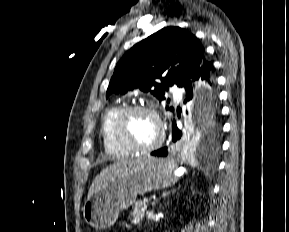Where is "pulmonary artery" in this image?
<instances>
[{"label": "pulmonary artery", "mask_w": 289, "mask_h": 232, "mask_svg": "<svg viewBox=\"0 0 289 232\" xmlns=\"http://www.w3.org/2000/svg\"><path fill=\"white\" fill-rule=\"evenodd\" d=\"M172 92L176 99L179 100L181 98V89H179L178 87H173Z\"/></svg>", "instance_id": "pulmonary-artery-1"}]
</instances>
